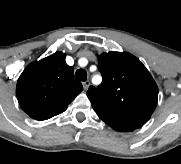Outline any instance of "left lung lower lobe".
Returning a JSON list of instances; mask_svg holds the SVG:
<instances>
[{
	"label": "left lung lower lobe",
	"mask_w": 181,
	"mask_h": 164,
	"mask_svg": "<svg viewBox=\"0 0 181 164\" xmlns=\"http://www.w3.org/2000/svg\"><path fill=\"white\" fill-rule=\"evenodd\" d=\"M103 121L106 124H108L110 127H112L114 130L121 131V132H129V131H133L136 129L133 126H130L128 124H123L120 122H116V121H109V120H105V119H103Z\"/></svg>",
	"instance_id": "obj_1"
}]
</instances>
